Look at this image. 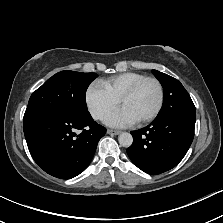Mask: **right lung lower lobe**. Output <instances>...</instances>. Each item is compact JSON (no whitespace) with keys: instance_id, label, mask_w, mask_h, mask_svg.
Returning <instances> with one entry per match:
<instances>
[{"instance_id":"right-lung-lower-lobe-1","label":"right lung lower lobe","mask_w":223,"mask_h":223,"mask_svg":"<svg viewBox=\"0 0 223 223\" xmlns=\"http://www.w3.org/2000/svg\"><path fill=\"white\" fill-rule=\"evenodd\" d=\"M24 135L34 161L48 174L70 179L91 162L106 129L92 117L45 115L23 121ZM83 130L79 135L75 130Z\"/></svg>"}]
</instances>
